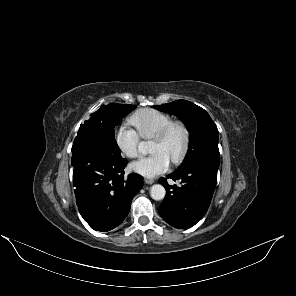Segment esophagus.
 Masks as SVG:
<instances>
[{
	"label": "esophagus",
	"instance_id": "34e87169",
	"mask_svg": "<svg viewBox=\"0 0 296 296\" xmlns=\"http://www.w3.org/2000/svg\"><path fill=\"white\" fill-rule=\"evenodd\" d=\"M144 182H145V184L150 185V184H153L155 181H154L153 179H148V178H146V179L144 180Z\"/></svg>",
	"mask_w": 296,
	"mask_h": 296
}]
</instances>
